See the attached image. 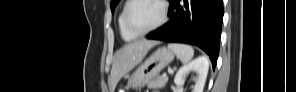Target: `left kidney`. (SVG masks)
Wrapping results in <instances>:
<instances>
[{
	"label": "left kidney",
	"mask_w": 296,
	"mask_h": 92,
	"mask_svg": "<svg viewBox=\"0 0 296 92\" xmlns=\"http://www.w3.org/2000/svg\"><path fill=\"white\" fill-rule=\"evenodd\" d=\"M209 69V60L204 57H198L190 63L182 66L176 73L174 83L177 87H182L185 83L187 75L191 72H196L195 85L192 92H203L207 74Z\"/></svg>",
	"instance_id": "left-kidney-1"
}]
</instances>
